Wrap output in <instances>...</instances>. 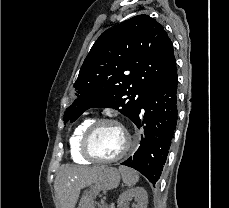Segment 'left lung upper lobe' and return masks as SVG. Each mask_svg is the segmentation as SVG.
<instances>
[{
	"instance_id": "obj_1",
	"label": "left lung upper lobe",
	"mask_w": 229,
	"mask_h": 208,
	"mask_svg": "<svg viewBox=\"0 0 229 208\" xmlns=\"http://www.w3.org/2000/svg\"><path fill=\"white\" fill-rule=\"evenodd\" d=\"M173 45L164 27L138 15L106 30L85 58L74 84L78 97L64 114L75 121L91 107H109L130 118L146 95L175 75Z\"/></svg>"
}]
</instances>
